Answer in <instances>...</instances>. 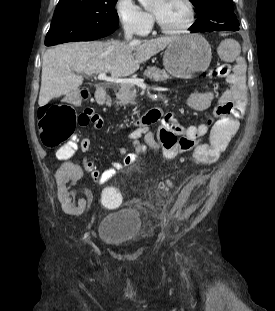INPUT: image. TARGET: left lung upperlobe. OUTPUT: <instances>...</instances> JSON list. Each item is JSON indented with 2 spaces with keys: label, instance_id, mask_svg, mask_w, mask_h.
Returning <instances> with one entry per match:
<instances>
[{
  "label": "left lung upper lobe",
  "instance_id": "5c2ea615",
  "mask_svg": "<svg viewBox=\"0 0 275 311\" xmlns=\"http://www.w3.org/2000/svg\"><path fill=\"white\" fill-rule=\"evenodd\" d=\"M198 19L192 25L196 31H237L239 22L232 0H190Z\"/></svg>",
  "mask_w": 275,
  "mask_h": 311
}]
</instances>
